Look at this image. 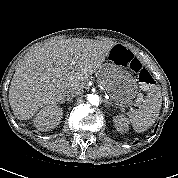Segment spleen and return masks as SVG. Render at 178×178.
<instances>
[{"instance_id": "spleen-1", "label": "spleen", "mask_w": 178, "mask_h": 178, "mask_svg": "<svg viewBox=\"0 0 178 178\" xmlns=\"http://www.w3.org/2000/svg\"><path fill=\"white\" fill-rule=\"evenodd\" d=\"M162 105V96L158 85H151L142 105L129 112L128 117L136 132L149 129L156 121Z\"/></svg>"}]
</instances>
